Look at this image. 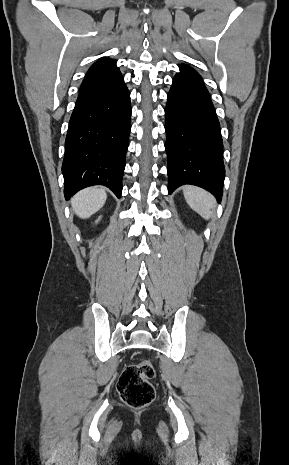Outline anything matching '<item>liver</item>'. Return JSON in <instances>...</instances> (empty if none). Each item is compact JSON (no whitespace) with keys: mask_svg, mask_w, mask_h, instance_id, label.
Returning a JSON list of instances; mask_svg holds the SVG:
<instances>
[{"mask_svg":"<svg viewBox=\"0 0 289 465\" xmlns=\"http://www.w3.org/2000/svg\"><path fill=\"white\" fill-rule=\"evenodd\" d=\"M106 199L107 194L103 188L90 187L77 193L73 197L71 205L80 218L86 219L99 211Z\"/></svg>","mask_w":289,"mask_h":465,"instance_id":"6515ba94","label":"liver"}]
</instances>
